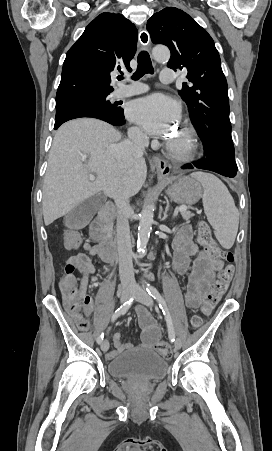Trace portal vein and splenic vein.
I'll list each match as a JSON object with an SVG mask.
<instances>
[{
	"instance_id": "18ae733b",
	"label": "portal vein and splenic vein",
	"mask_w": 272,
	"mask_h": 451,
	"mask_svg": "<svg viewBox=\"0 0 272 451\" xmlns=\"http://www.w3.org/2000/svg\"><path fill=\"white\" fill-rule=\"evenodd\" d=\"M89 180H95V176H93V174H89ZM187 210V206H180V208H178V212H186Z\"/></svg>"
}]
</instances>
